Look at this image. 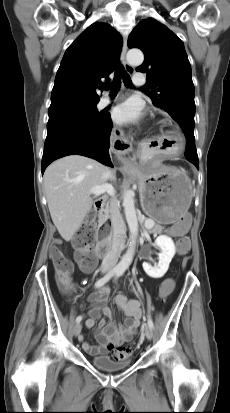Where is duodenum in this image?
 I'll list each match as a JSON object with an SVG mask.
<instances>
[{
  "label": "duodenum",
  "instance_id": "1",
  "mask_svg": "<svg viewBox=\"0 0 230 413\" xmlns=\"http://www.w3.org/2000/svg\"><path fill=\"white\" fill-rule=\"evenodd\" d=\"M105 198H97L94 202V206L96 210L101 214V216L104 215V207H105ZM102 225L99 231V240L94 248V253L97 257H103L106 252V247H107V237L109 234L110 230V224L108 219L102 218Z\"/></svg>",
  "mask_w": 230,
  "mask_h": 413
}]
</instances>
